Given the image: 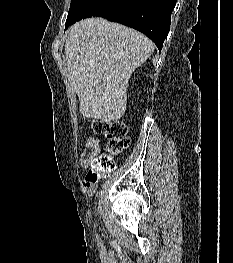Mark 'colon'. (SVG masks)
Instances as JSON below:
<instances>
[{
  "instance_id": "1",
  "label": "colon",
  "mask_w": 233,
  "mask_h": 263,
  "mask_svg": "<svg viewBox=\"0 0 233 263\" xmlns=\"http://www.w3.org/2000/svg\"><path fill=\"white\" fill-rule=\"evenodd\" d=\"M91 127L94 132L104 135L107 139L105 151L93 160L85 176L88 183H96L100 176L114 170L116 156L129 146L130 141L123 122L92 120Z\"/></svg>"
}]
</instances>
